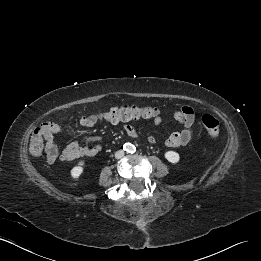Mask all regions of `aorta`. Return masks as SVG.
<instances>
[{
	"label": "aorta",
	"mask_w": 261,
	"mask_h": 261,
	"mask_svg": "<svg viewBox=\"0 0 261 261\" xmlns=\"http://www.w3.org/2000/svg\"><path fill=\"white\" fill-rule=\"evenodd\" d=\"M125 150L129 153H132L135 150V146L131 143H126L125 144Z\"/></svg>",
	"instance_id": "aorta-1"
}]
</instances>
